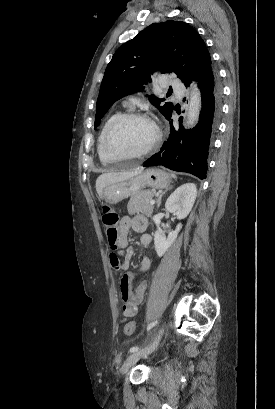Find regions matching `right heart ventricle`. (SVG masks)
Instances as JSON below:
<instances>
[{
  "label": "right heart ventricle",
  "mask_w": 275,
  "mask_h": 409,
  "mask_svg": "<svg viewBox=\"0 0 275 409\" xmlns=\"http://www.w3.org/2000/svg\"><path fill=\"white\" fill-rule=\"evenodd\" d=\"M119 116V114H114L111 117H109L106 122L104 123V125L102 126L99 136H98V141H97V152L99 157H104L103 153H102V145H103V140L105 137V134L109 128V126L111 125V123L113 122V120L115 118H117Z\"/></svg>",
  "instance_id": "e07e8e85"
}]
</instances>
